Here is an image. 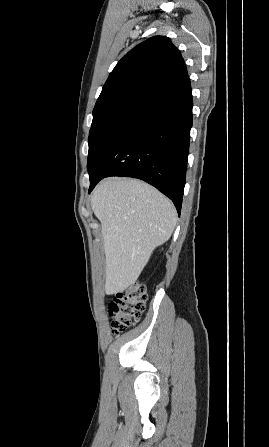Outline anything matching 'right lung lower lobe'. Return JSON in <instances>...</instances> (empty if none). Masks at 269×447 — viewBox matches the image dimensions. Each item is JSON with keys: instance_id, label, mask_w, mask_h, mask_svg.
<instances>
[{"instance_id": "1", "label": "right lung lower lobe", "mask_w": 269, "mask_h": 447, "mask_svg": "<svg viewBox=\"0 0 269 447\" xmlns=\"http://www.w3.org/2000/svg\"><path fill=\"white\" fill-rule=\"evenodd\" d=\"M192 106L187 75L127 117L94 160L89 193L105 177H134L169 197L180 215Z\"/></svg>"}]
</instances>
